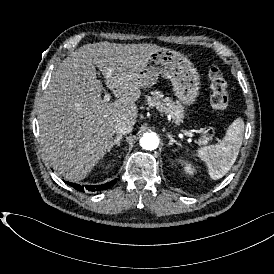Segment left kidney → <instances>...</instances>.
<instances>
[{"instance_id": "obj_1", "label": "left kidney", "mask_w": 274, "mask_h": 274, "mask_svg": "<svg viewBox=\"0 0 274 274\" xmlns=\"http://www.w3.org/2000/svg\"><path fill=\"white\" fill-rule=\"evenodd\" d=\"M180 161L184 165V170L186 173L193 175L196 172V169L191 164H189L183 160H180Z\"/></svg>"}]
</instances>
